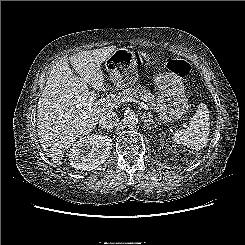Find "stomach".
<instances>
[{"label":"stomach","instance_id":"stomach-1","mask_svg":"<svg viewBox=\"0 0 245 245\" xmlns=\"http://www.w3.org/2000/svg\"><path fill=\"white\" fill-rule=\"evenodd\" d=\"M149 60L150 55L147 53L119 48L105 63L109 80L116 87L131 86L138 79L137 65ZM154 81L159 90L156 107L159 116L164 122L180 119L189 107L182 78L173 72H162Z\"/></svg>","mask_w":245,"mask_h":245}]
</instances>
